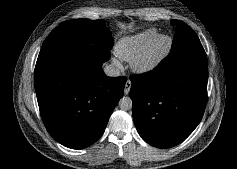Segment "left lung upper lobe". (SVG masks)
<instances>
[{
    "mask_svg": "<svg viewBox=\"0 0 237 169\" xmlns=\"http://www.w3.org/2000/svg\"><path fill=\"white\" fill-rule=\"evenodd\" d=\"M177 30L173 39L170 54L163 60L166 66L189 57H206L204 48L196 33L186 23L172 20Z\"/></svg>",
    "mask_w": 237,
    "mask_h": 169,
    "instance_id": "5c2ea615",
    "label": "left lung upper lobe"
}]
</instances>
